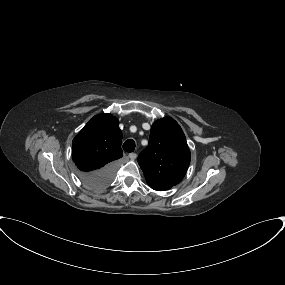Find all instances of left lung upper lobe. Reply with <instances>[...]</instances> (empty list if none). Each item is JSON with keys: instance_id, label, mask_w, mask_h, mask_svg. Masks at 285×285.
Returning <instances> with one entry per match:
<instances>
[{"instance_id": "left-lung-upper-lobe-1", "label": "left lung upper lobe", "mask_w": 285, "mask_h": 285, "mask_svg": "<svg viewBox=\"0 0 285 285\" xmlns=\"http://www.w3.org/2000/svg\"><path fill=\"white\" fill-rule=\"evenodd\" d=\"M190 159L181 127L172 118L165 117L152 125L149 144L139 154L138 163L148 185L154 190L165 191L183 179Z\"/></svg>"}]
</instances>
